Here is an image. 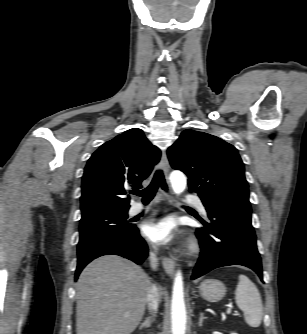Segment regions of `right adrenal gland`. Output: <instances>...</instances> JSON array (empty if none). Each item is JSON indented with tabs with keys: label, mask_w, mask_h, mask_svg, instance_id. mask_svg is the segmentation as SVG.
<instances>
[{
	"label": "right adrenal gland",
	"mask_w": 307,
	"mask_h": 334,
	"mask_svg": "<svg viewBox=\"0 0 307 334\" xmlns=\"http://www.w3.org/2000/svg\"><path fill=\"white\" fill-rule=\"evenodd\" d=\"M154 321V317L153 318H147L140 326V329L144 328V327H150L151 323Z\"/></svg>",
	"instance_id": "obj_1"
}]
</instances>
